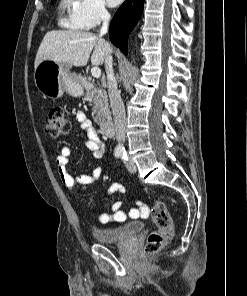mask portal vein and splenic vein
Segmentation results:
<instances>
[{
    "label": "portal vein and splenic vein",
    "mask_w": 247,
    "mask_h": 296,
    "mask_svg": "<svg viewBox=\"0 0 247 296\" xmlns=\"http://www.w3.org/2000/svg\"><path fill=\"white\" fill-rule=\"evenodd\" d=\"M91 73H92V76L95 78H99L101 76V70L98 67H92Z\"/></svg>",
    "instance_id": "1"
}]
</instances>
